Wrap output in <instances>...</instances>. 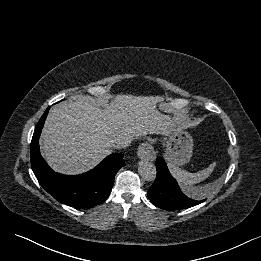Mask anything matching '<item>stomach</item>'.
Instances as JSON below:
<instances>
[{
  "instance_id": "1",
  "label": "stomach",
  "mask_w": 261,
  "mask_h": 261,
  "mask_svg": "<svg viewBox=\"0 0 261 261\" xmlns=\"http://www.w3.org/2000/svg\"><path fill=\"white\" fill-rule=\"evenodd\" d=\"M165 144V158L174 164L184 165L192 157V136L175 119L170 118L169 132Z\"/></svg>"
}]
</instances>
